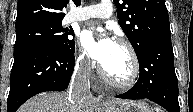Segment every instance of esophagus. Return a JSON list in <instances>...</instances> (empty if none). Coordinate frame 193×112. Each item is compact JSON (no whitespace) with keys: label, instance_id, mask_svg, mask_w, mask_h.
Wrapping results in <instances>:
<instances>
[{"label":"esophagus","instance_id":"esophagus-1","mask_svg":"<svg viewBox=\"0 0 193 112\" xmlns=\"http://www.w3.org/2000/svg\"><path fill=\"white\" fill-rule=\"evenodd\" d=\"M97 99L99 100V99H102V96L101 95H98L97 96Z\"/></svg>","mask_w":193,"mask_h":112}]
</instances>
